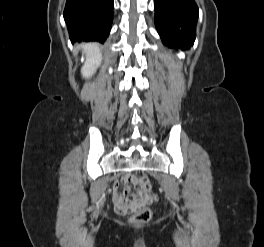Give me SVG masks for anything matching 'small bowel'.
<instances>
[{"mask_svg":"<svg viewBox=\"0 0 264 247\" xmlns=\"http://www.w3.org/2000/svg\"><path fill=\"white\" fill-rule=\"evenodd\" d=\"M128 181H129V176L126 175V176H123L121 178L120 182H116V183L113 184V188H112V190H113V200H114V203L117 206V208L119 206V202L122 199L126 198L128 193L130 192V188L127 186ZM122 185L124 187H123L122 191H120V187Z\"/></svg>","mask_w":264,"mask_h":247,"instance_id":"1","label":"small bowel"}]
</instances>
